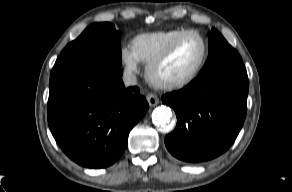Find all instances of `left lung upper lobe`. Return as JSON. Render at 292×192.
Segmentation results:
<instances>
[{
  "instance_id": "1",
  "label": "left lung upper lobe",
  "mask_w": 292,
  "mask_h": 192,
  "mask_svg": "<svg viewBox=\"0 0 292 192\" xmlns=\"http://www.w3.org/2000/svg\"><path fill=\"white\" fill-rule=\"evenodd\" d=\"M209 56L198 76L225 69H245L239 53L215 29L208 34Z\"/></svg>"
}]
</instances>
